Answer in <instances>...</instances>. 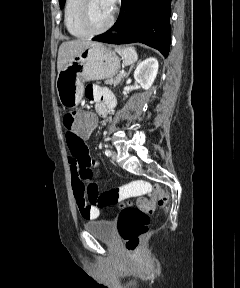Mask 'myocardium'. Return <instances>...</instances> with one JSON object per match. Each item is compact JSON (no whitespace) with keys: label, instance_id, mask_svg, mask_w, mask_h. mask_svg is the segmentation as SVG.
<instances>
[{"label":"myocardium","instance_id":"obj_1","mask_svg":"<svg viewBox=\"0 0 240 288\" xmlns=\"http://www.w3.org/2000/svg\"><path fill=\"white\" fill-rule=\"evenodd\" d=\"M89 2L90 0H81L79 13H78V22L80 27L88 34H99L108 30L114 22V13L112 12L108 21L99 28H94L89 22Z\"/></svg>","mask_w":240,"mask_h":288}]
</instances>
